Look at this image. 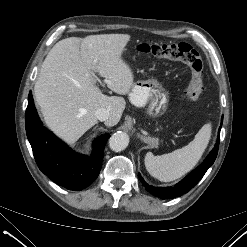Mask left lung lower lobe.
Wrapping results in <instances>:
<instances>
[{
    "label": "left lung lower lobe",
    "mask_w": 247,
    "mask_h": 247,
    "mask_svg": "<svg viewBox=\"0 0 247 247\" xmlns=\"http://www.w3.org/2000/svg\"><path fill=\"white\" fill-rule=\"evenodd\" d=\"M221 126L219 127L218 138L213 150L210 152V154L200 166H198L195 170H193L175 186L170 187H153L151 185H148L139 174L140 181L145 187V189L154 196H157L161 199L175 198L187 193L190 189H192L202 179L206 171L211 167V165L216 159L220 141Z\"/></svg>",
    "instance_id": "left-lung-lower-lobe-1"
}]
</instances>
